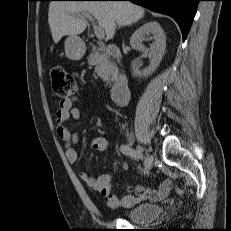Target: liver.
I'll use <instances>...</instances> for the list:
<instances>
[{
    "label": "liver",
    "mask_w": 231,
    "mask_h": 231,
    "mask_svg": "<svg viewBox=\"0 0 231 231\" xmlns=\"http://www.w3.org/2000/svg\"><path fill=\"white\" fill-rule=\"evenodd\" d=\"M93 15L106 38L112 39L116 26L131 25L144 16V9L129 1H51L48 23L55 43L65 36H77L87 27L80 14Z\"/></svg>",
    "instance_id": "liver-1"
}]
</instances>
